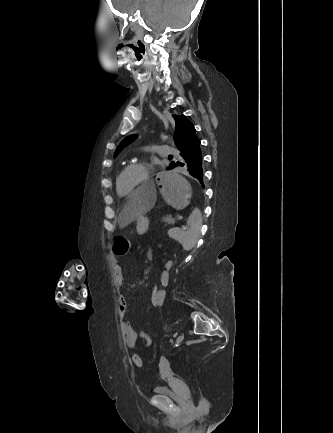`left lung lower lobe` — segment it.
Segmentation results:
<instances>
[{
  "label": "left lung lower lobe",
  "mask_w": 333,
  "mask_h": 433,
  "mask_svg": "<svg viewBox=\"0 0 333 433\" xmlns=\"http://www.w3.org/2000/svg\"><path fill=\"white\" fill-rule=\"evenodd\" d=\"M202 152L200 140L197 139L190 144L185 151L178 154L175 161L170 165L171 169H178L187 172L197 181L203 182Z\"/></svg>",
  "instance_id": "obj_1"
}]
</instances>
